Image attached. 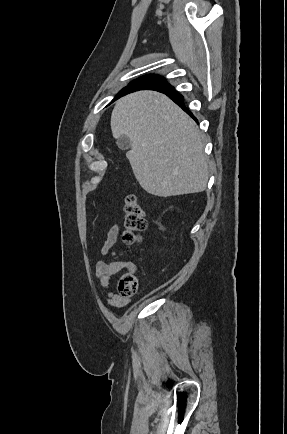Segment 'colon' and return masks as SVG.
<instances>
[{
	"label": "colon",
	"mask_w": 287,
	"mask_h": 434,
	"mask_svg": "<svg viewBox=\"0 0 287 434\" xmlns=\"http://www.w3.org/2000/svg\"><path fill=\"white\" fill-rule=\"evenodd\" d=\"M124 234L126 244H134L140 241V233L146 229V217L138 198L129 194L124 204ZM138 280L135 275L124 274L118 281L117 292L122 298H132L137 294Z\"/></svg>",
	"instance_id": "colon-1"
}]
</instances>
